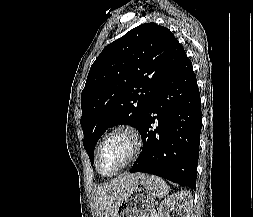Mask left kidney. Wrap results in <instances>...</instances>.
I'll return each mask as SVG.
<instances>
[{
    "label": "left kidney",
    "mask_w": 253,
    "mask_h": 217,
    "mask_svg": "<svg viewBox=\"0 0 253 217\" xmlns=\"http://www.w3.org/2000/svg\"><path fill=\"white\" fill-rule=\"evenodd\" d=\"M191 205L192 196L189 192H177L162 202L159 210V217H169L170 211L175 209V207L179 212V217H189L187 213Z\"/></svg>",
    "instance_id": "left-kidney-1"
}]
</instances>
